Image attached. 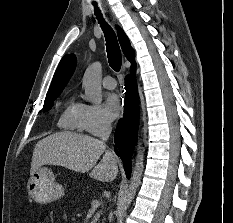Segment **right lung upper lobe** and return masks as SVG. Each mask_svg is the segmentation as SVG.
I'll return each mask as SVG.
<instances>
[{"mask_svg": "<svg viewBox=\"0 0 233 223\" xmlns=\"http://www.w3.org/2000/svg\"><path fill=\"white\" fill-rule=\"evenodd\" d=\"M118 38L127 59L131 62V68L135 67L134 51L131 48L130 42L122 29L118 30ZM76 65V57L73 54L65 55L59 63V66L54 74L51 86L47 92L44 106L54 103V100L60 95L68 80L72 76Z\"/></svg>", "mask_w": 233, "mask_h": 223, "instance_id": "obj_1", "label": "right lung upper lobe"}]
</instances>
